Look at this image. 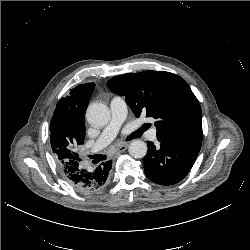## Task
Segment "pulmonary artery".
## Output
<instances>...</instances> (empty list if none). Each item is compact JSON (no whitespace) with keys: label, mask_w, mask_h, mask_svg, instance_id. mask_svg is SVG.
<instances>
[{"label":"pulmonary artery","mask_w":250,"mask_h":250,"mask_svg":"<svg viewBox=\"0 0 250 250\" xmlns=\"http://www.w3.org/2000/svg\"><path fill=\"white\" fill-rule=\"evenodd\" d=\"M111 119L109 124L100 134L99 138L95 142L93 151H99L110 144L117 136L122 123L127 117V105L125 100L120 96H115L110 102ZM156 129L153 128L149 132V139L156 140Z\"/></svg>","instance_id":"1"}]
</instances>
